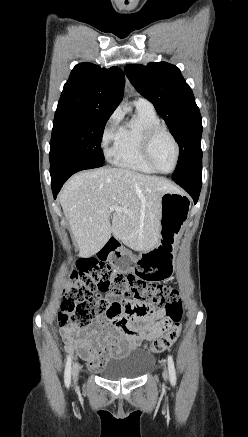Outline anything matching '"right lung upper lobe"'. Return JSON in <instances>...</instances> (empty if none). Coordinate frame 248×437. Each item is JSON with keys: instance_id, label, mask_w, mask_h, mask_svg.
<instances>
[{"instance_id": "right-lung-upper-lobe-1", "label": "right lung upper lobe", "mask_w": 248, "mask_h": 437, "mask_svg": "<svg viewBox=\"0 0 248 437\" xmlns=\"http://www.w3.org/2000/svg\"><path fill=\"white\" fill-rule=\"evenodd\" d=\"M124 84V73L118 67L78 64L64 85L57 108L111 115L122 100Z\"/></svg>"}]
</instances>
